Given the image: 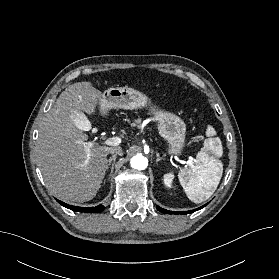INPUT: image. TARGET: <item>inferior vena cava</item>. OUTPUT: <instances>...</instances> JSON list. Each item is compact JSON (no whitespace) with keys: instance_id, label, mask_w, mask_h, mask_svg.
I'll list each match as a JSON object with an SVG mask.
<instances>
[{"instance_id":"1","label":"inferior vena cava","mask_w":279,"mask_h":279,"mask_svg":"<svg viewBox=\"0 0 279 279\" xmlns=\"http://www.w3.org/2000/svg\"><path fill=\"white\" fill-rule=\"evenodd\" d=\"M109 153L111 154H115V155H120L122 156L123 155V151H122V148L121 147H114V148H111Z\"/></svg>"}]
</instances>
